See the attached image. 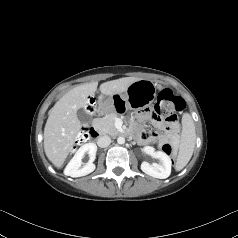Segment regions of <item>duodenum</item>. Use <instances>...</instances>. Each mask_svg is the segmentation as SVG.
<instances>
[{"instance_id": "obj_1", "label": "duodenum", "mask_w": 238, "mask_h": 238, "mask_svg": "<svg viewBox=\"0 0 238 238\" xmlns=\"http://www.w3.org/2000/svg\"><path fill=\"white\" fill-rule=\"evenodd\" d=\"M89 134H90V136L93 137V138H97V137L99 136L98 130H97L96 128H94V127H91V128L89 129Z\"/></svg>"}]
</instances>
